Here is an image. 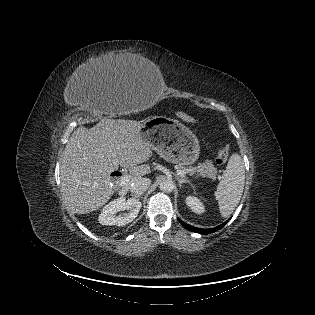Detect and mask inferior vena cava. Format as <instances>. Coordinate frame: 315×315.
<instances>
[{
  "mask_svg": "<svg viewBox=\"0 0 315 315\" xmlns=\"http://www.w3.org/2000/svg\"><path fill=\"white\" fill-rule=\"evenodd\" d=\"M150 185H151L150 179L140 177L133 181L130 187V191L135 195H139L144 193L149 188Z\"/></svg>",
  "mask_w": 315,
  "mask_h": 315,
  "instance_id": "602c4592",
  "label": "inferior vena cava"
}]
</instances>
